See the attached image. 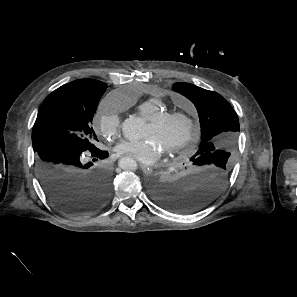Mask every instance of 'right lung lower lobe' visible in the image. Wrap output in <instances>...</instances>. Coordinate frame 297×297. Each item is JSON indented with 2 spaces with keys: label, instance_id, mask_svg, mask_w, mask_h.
<instances>
[{
  "label": "right lung lower lobe",
  "instance_id": "right-lung-lower-lobe-1",
  "mask_svg": "<svg viewBox=\"0 0 297 297\" xmlns=\"http://www.w3.org/2000/svg\"><path fill=\"white\" fill-rule=\"evenodd\" d=\"M81 154L59 144L36 151V170L46 196L59 210L72 215L96 212L110 195L111 176L102 166L83 164ZM91 154L96 160L108 156L99 149Z\"/></svg>",
  "mask_w": 297,
  "mask_h": 297
}]
</instances>
